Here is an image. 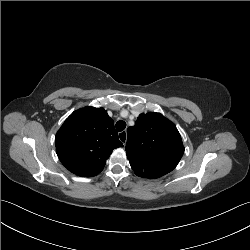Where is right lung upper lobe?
<instances>
[{
	"mask_svg": "<svg viewBox=\"0 0 250 250\" xmlns=\"http://www.w3.org/2000/svg\"><path fill=\"white\" fill-rule=\"evenodd\" d=\"M55 140L62 164L82 177L99 174L112 150L123 147L107 111L95 107L73 112L58 130Z\"/></svg>",
	"mask_w": 250,
	"mask_h": 250,
	"instance_id": "cb5924a9",
	"label": "right lung upper lobe"
}]
</instances>
